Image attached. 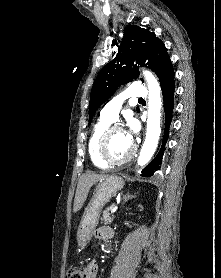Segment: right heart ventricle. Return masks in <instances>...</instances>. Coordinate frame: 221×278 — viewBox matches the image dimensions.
<instances>
[{"instance_id": "1", "label": "right heart ventricle", "mask_w": 221, "mask_h": 278, "mask_svg": "<svg viewBox=\"0 0 221 278\" xmlns=\"http://www.w3.org/2000/svg\"><path fill=\"white\" fill-rule=\"evenodd\" d=\"M110 125H111L110 121L101 117L98 120V122L94 125L88 140V152H89L90 159L96 167L102 169L107 168L108 165L103 163L98 156V143L101 135L106 130V128L109 127Z\"/></svg>"}]
</instances>
